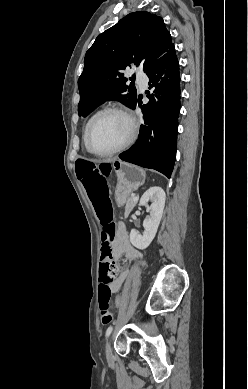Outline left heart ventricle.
<instances>
[{"mask_svg": "<svg viewBox=\"0 0 248 389\" xmlns=\"http://www.w3.org/2000/svg\"><path fill=\"white\" fill-rule=\"evenodd\" d=\"M129 131V123L122 115L105 114L91 127L89 146L98 152L112 150L125 141Z\"/></svg>", "mask_w": 248, "mask_h": 389, "instance_id": "obj_1", "label": "left heart ventricle"}]
</instances>
